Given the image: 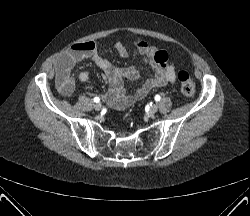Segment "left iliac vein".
Returning a JSON list of instances; mask_svg holds the SVG:
<instances>
[{"mask_svg":"<svg viewBox=\"0 0 250 216\" xmlns=\"http://www.w3.org/2000/svg\"><path fill=\"white\" fill-rule=\"evenodd\" d=\"M157 111H158V106H157V105H152V106L149 108V113H150V114H155Z\"/></svg>","mask_w":250,"mask_h":216,"instance_id":"4c4485c4","label":"left iliac vein"}]
</instances>
